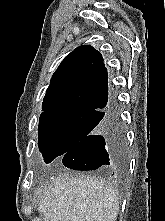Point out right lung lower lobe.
<instances>
[{
    "label": "right lung lower lobe",
    "instance_id": "98d812e1",
    "mask_svg": "<svg viewBox=\"0 0 165 221\" xmlns=\"http://www.w3.org/2000/svg\"><path fill=\"white\" fill-rule=\"evenodd\" d=\"M98 126L63 156V164L74 170L107 169L120 172L124 165V133L119 120V105L112 99Z\"/></svg>",
    "mask_w": 165,
    "mask_h": 221
}]
</instances>
